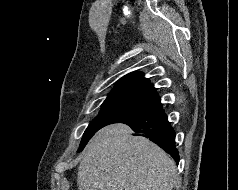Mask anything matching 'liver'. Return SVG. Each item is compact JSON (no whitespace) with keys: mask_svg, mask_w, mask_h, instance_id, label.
Masks as SVG:
<instances>
[{"mask_svg":"<svg viewBox=\"0 0 238 190\" xmlns=\"http://www.w3.org/2000/svg\"><path fill=\"white\" fill-rule=\"evenodd\" d=\"M173 159L125 124L100 129L88 143L77 174L79 190H172Z\"/></svg>","mask_w":238,"mask_h":190,"instance_id":"1","label":"liver"}]
</instances>
